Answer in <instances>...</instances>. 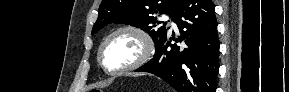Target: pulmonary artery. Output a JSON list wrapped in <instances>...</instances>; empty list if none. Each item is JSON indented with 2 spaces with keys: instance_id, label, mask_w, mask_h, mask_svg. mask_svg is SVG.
<instances>
[{
  "instance_id": "1",
  "label": "pulmonary artery",
  "mask_w": 289,
  "mask_h": 92,
  "mask_svg": "<svg viewBox=\"0 0 289 92\" xmlns=\"http://www.w3.org/2000/svg\"><path fill=\"white\" fill-rule=\"evenodd\" d=\"M164 20H165V21H168V22L170 23L172 29H174V30L177 29L176 24H175L168 16H165V17H164Z\"/></svg>"
}]
</instances>
